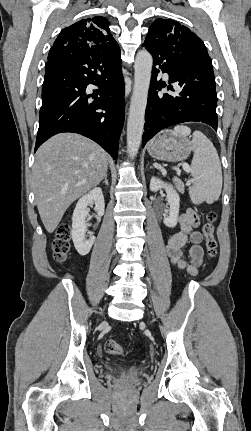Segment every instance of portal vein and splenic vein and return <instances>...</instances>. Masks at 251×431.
I'll list each match as a JSON object with an SVG mask.
<instances>
[{"instance_id": "1", "label": "portal vein and splenic vein", "mask_w": 251, "mask_h": 431, "mask_svg": "<svg viewBox=\"0 0 251 431\" xmlns=\"http://www.w3.org/2000/svg\"><path fill=\"white\" fill-rule=\"evenodd\" d=\"M183 169H184L187 173H189V172H190V167H189L188 165H186V164H184V165H183Z\"/></svg>"}]
</instances>
